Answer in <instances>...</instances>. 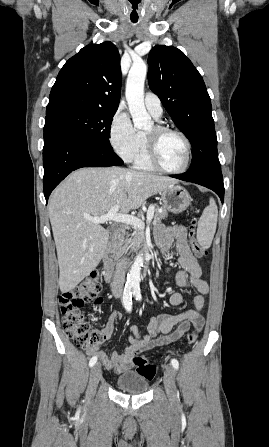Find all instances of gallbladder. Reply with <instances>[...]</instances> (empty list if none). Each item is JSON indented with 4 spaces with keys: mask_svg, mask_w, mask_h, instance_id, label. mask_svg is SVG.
Masks as SVG:
<instances>
[{
    "mask_svg": "<svg viewBox=\"0 0 269 447\" xmlns=\"http://www.w3.org/2000/svg\"><path fill=\"white\" fill-rule=\"evenodd\" d=\"M108 231H111L110 227H108Z\"/></svg>",
    "mask_w": 269,
    "mask_h": 447,
    "instance_id": "1",
    "label": "gallbladder"
}]
</instances>
